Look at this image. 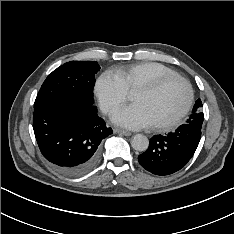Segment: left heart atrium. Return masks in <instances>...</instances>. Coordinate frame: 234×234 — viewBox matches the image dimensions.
<instances>
[{"mask_svg": "<svg viewBox=\"0 0 234 234\" xmlns=\"http://www.w3.org/2000/svg\"><path fill=\"white\" fill-rule=\"evenodd\" d=\"M112 120L123 127L130 129L151 126V121L144 109L137 104L117 110L112 115Z\"/></svg>", "mask_w": 234, "mask_h": 234, "instance_id": "left-heart-atrium-1", "label": "left heart atrium"}]
</instances>
